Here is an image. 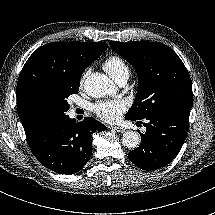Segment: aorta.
Wrapping results in <instances>:
<instances>
[{"label":"aorta","instance_id":"obj_1","mask_svg":"<svg viewBox=\"0 0 215 215\" xmlns=\"http://www.w3.org/2000/svg\"><path fill=\"white\" fill-rule=\"evenodd\" d=\"M111 82L108 76L102 73H93L84 82L86 93L94 98L104 97L111 91ZM141 137L136 131H126L122 136V144L130 149L139 147Z\"/></svg>","mask_w":215,"mask_h":215}]
</instances>
